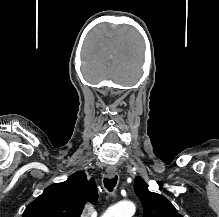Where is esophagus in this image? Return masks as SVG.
<instances>
[{
	"label": "esophagus",
	"mask_w": 219,
	"mask_h": 217,
	"mask_svg": "<svg viewBox=\"0 0 219 217\" xmlns=\"http://www.w3.org/2000/svg\"><path fill=\"white\" fill-rule=\"evenodd\" d=\"M106 173L109 178H113L117 174V170L115 168H107Z\"/></svg>",
	"instance_id": "esophagus-1"
}]
</instances>
